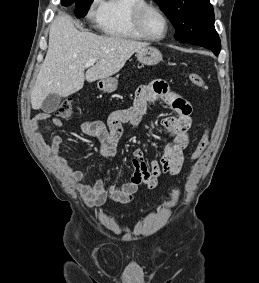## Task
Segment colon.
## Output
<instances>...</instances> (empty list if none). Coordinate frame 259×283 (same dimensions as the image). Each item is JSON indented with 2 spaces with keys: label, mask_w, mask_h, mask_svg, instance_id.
<instances>
[{
  "label": "colon",
  "mask_w": 259,
  "mask_h": 283,
  "mask_svg": "<svg viewBox=\"0 0 259 283\" xmlns=\"http://www.w3.org/2000/svg\"><path fill=\"white\" fill-rule=\"evenodd\" d=\"M189 79L191 83L197 87H200V88L207 87L203 77L196 72H191L189 75ZM55 114L58 117H61L64 119L70 118L73 115V101L71 99H65L64 101H62L61 104L58 106V108L55 110ZM207 143H208V138L206 135H204L199 141L196 147V150L193 154L194 159H196L202 154V152L205 150L207 146ZM179 195H180V191L179 189H176L173 192L171 198L165 203V206L166 207L174 206L179 198Z\"/></svg>",
  "instance_id": "5ec220e1"
}]
</instances>
